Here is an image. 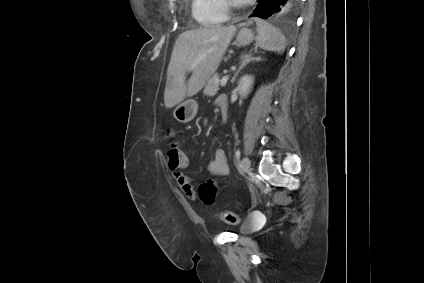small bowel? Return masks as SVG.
I'll use <instances>...</instances> for the list:
<instances>
[{"mask_svg":"<svg viewBox=\"0 0 424 283\" xmlns=\"http://www.w3.org/2000/svg\"><path fill=\"white\" fill-rule=\"evenodd\" d=\"M221 98H219L218 102L220 101ZM188 164H189V160L187 156L185 155V163L182 166L176 169L170 167V169L172 170L173 178L175 179L176 183L181 188L183 193L190 200H195L196 199L195 187L193 183L191 182L190 178L183 172V169L186 168ZM208 172L212 175H220V176H225L228 174L229 164H228L226 153L223 149H217L215 151L214 158L208 165Z\"/></svg>","mask_w":424,"mask_h":283,"instance_id":"1","label":"small bowel"}]
</instances>
